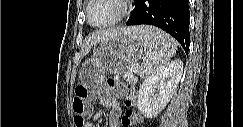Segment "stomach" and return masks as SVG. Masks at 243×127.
<instances>
[{
	"label": "stomach",
	"mask_w": 243,
	"mask_h": 127,
	"mask_svg": "<svg viewBox=\"0 0 243 127\" xmlns=\"http://www.w3.org/2000/svg\"><path fill=\"white\" fill-rule=\"evenodd\" d=\"M143 53L142 42L133 33L109 37L95 44L93 55L80 68L79 79L86 87L95 88L107 73L121 74L137 66Z\"/></svg>",
	"instance_id": "stomach-1"
}]
</instances>
